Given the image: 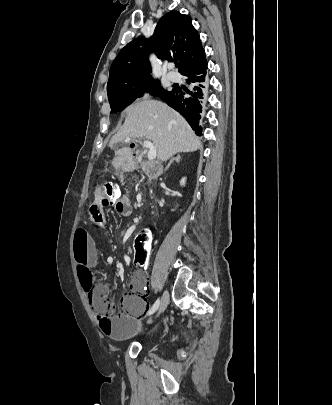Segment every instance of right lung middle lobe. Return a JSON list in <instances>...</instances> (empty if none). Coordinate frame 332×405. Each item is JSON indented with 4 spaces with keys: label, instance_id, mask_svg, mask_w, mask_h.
I'll return each mask as SVG.
<instances>
[{
    "label": "right lung middle lobe",
    "instance_id": "dd1d6c3e",
    "mask_svg": "<svg viewBox=\"0 0 332 405\" xmlns=\"http://www.w3.org/2000/svg\"><path fill=\"white\" fill-rule=\"evenodd\" d=\"M144 91H150L152 95L159 97L169 92L165 91L159 85V81L152 77L128 79L107 90L111 113L124 110Z\"/></svg>",
    "mask_w": 332,
    "mask_h": 405
}]
</instances>
